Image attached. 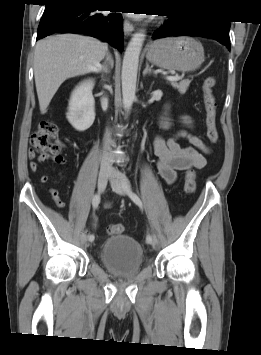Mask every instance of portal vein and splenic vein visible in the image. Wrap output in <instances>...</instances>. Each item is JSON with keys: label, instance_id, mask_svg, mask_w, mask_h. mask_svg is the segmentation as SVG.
I'll return each instance as SVG.
<instances>
[{"label": "portal vein and splenic vein", "instance_id": "obj_1", "mask_svg": "<svg viewBox=\"0 0 261 355\" xmlns=\"http://www.w3.org/2000/svg\"><path fill=\"white\" fill-rule=\"evenodd\" d=\"M166 79L169 81H177V80L181 79V76H179V75L167 76Z\"/></svg>", "mask_w": 261, "mask_h": 355}]
</instances>
